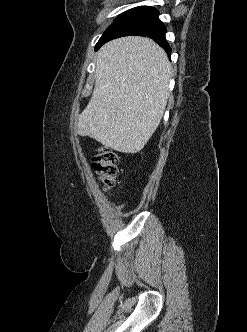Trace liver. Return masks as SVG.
I'll list each match as a JSON object with an SVG mask.
<instances>
[{
	"mask_svg": "<svg viewBox=\"0 0 247 332\" xmlns=\"http://www.w3.org/2000/svg\"><path fill=\"white\" fill-rule=\"evenodd\" d=\"M95 88L76 131L107 148L133 154L156 131L169 96L172 67L165 51L144 37L106 43L96 55Z\"/></svg>",
	"mask_w": 247,
	"mask_h": 332,
	"instance_id": "obj_1",
	"label": "liver"
}]
</instances>
